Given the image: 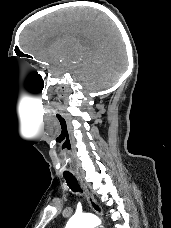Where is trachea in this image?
<instances>
[{
	"label": "trachea",
	"instance_id": "obj_1",
	"mask_svg": "<svg viewBox=\"0 0 171 228\" xmlns=\"http://www.w3.org/2000/svg\"><path fill=\"white\" fill-rule=\"evenodd\" d=\"M67 185L69 186V188L74 191V192H82L81 188L78 185V182L76 180V178L72 175L70 176H64Z\"/></svg>",
	"mask_w": 171,
	"mask_h": 228
}]
</instances>
